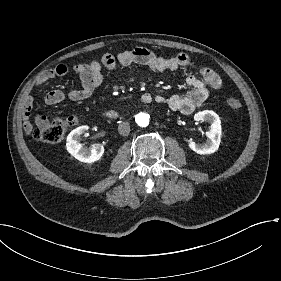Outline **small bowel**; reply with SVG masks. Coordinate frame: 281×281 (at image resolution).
<instances>
[{
    "mask_svg": "<svg viewBox=\"0 0 281 281\" xmlns=\"http://www.w3.org/2000/svg\"><path fill=\"white\" fill-rule=\"evenodd\" d=\"M138 64L147 66L155 72L175 71L180 68H192L196 74L186 78V83L191 90L185 94L162 95L154 94L150 102L165 105L173 112L190 114L197 109L208 97L210 90H217L222 87L223 81L218 73L206 66H196L190 57L180 53L172 57H162L145 48H135L130 51H123L116 55L105 54L100 59L88 63L73 65L72 69L81 79V87L74 88L67 92L62 90H51L42 95V100L49 105L58 104L66 98L79 101L92 95L94 90L103 81L104 70H113L117 65L129 66ZM68 72L67 66L60 64L46 70L37 79L36 85L40 86L56 77H62ZM33 105V97L28 95L23 108V128L29 133L34 125L30 122V113ZM39 124L46 122L44 113L39 112L35 116Z\"/></svg>",
    "mask_w": 281,
    "mask_h": 281,
    "instance_id": "obj_1",
    "label": "small bowel"
}]
</instances>
